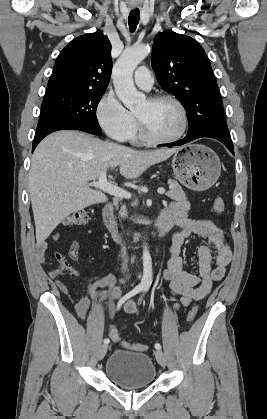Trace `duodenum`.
<instances>
[{"instance_id": "410a0bca", "label": "duodenum", "mask_w": 267, "mask_h": 419, "mask_svg": "<svg viewBox=\"0 0 267 419\" xmlns=\"http://www.w3.org/2000/svg\"><path fill=\"white\" fill-rule=\"evenodd\" d=\"M102 218L107 230L116 240L119 241L120 231L118 224L115 220V209L112 203H108L103 207ZM172 226L173 223L171 220L161 216L157 224L155 225L156 238H160L161 236H163Z\"/></svg>"}]
</instances>
